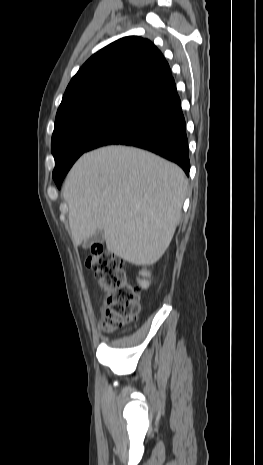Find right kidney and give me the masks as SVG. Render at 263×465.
Here are the masks:
<instances>
[{"label":"right kidney","mask_w":263,"mask_h":465,"mask_svg":"<svg viewBox=\"0 0 263 465\" xmlns=\"http://www.w3.org/2000/svg\"><path fill=\"white\" fill-rule=\"evenodd\" d=\"M140 275H142L143 277H148L149 278L150 277V272L147 271V270H142L140 272ZM138 283L143 289H147L149 287V285H150V282L148 280H146V279H143V280L138 279Z\"/></svg>","instance_id":"obj_1"}]
</instances>
